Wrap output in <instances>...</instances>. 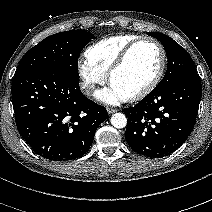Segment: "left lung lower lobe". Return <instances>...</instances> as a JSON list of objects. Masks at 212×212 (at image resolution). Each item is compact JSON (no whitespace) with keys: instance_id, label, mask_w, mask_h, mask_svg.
Wrapping results in <instances>:
<instances>
[{"instance_id":"left-lung-lower-lobe-1","label":"left lung lower lobe","mask_w":212,"mask_h":212,"mask_svg":"<svg viewBox=\"0 0 212 212\" xmlns=\"http://www.w3.org/2000/svg\"><path fill=\"white\" fill-rule=\"evenodd\" d=\"M201 100L197 72L154 90L134 107L128 117L125 138L136 153L161 158L177 150L190 135Z\"/></svg>"}]
</instances>
